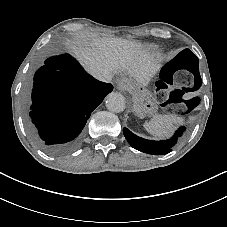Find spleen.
I'll use <instances>...</instances> for the list:
<instances>
[{"label":"spleen","mask_w":227,"mask_h":227,"mask_svg":"<svg viewBox=\"0 0 227 227\" xmlns=\"http://www.w3.org/2000/svg\"><path fill=\"white\" fill-rule=\"evenodd\" d=\"M183 118L171 115H155L149 122L144 124L146 130L153 136L163 139L170 137L175 123H182Z\"/></svg>","instance_id":"spleen-1"}]
</instances>
